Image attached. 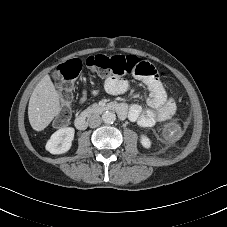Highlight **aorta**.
I'll return each instance as SVG.
<instances>
[{
  "mask_svg": "<svg viewBox=\"0 0 227 227\" xmlns=\"http://www.w3.org/2000/svg\"><path fill=\"white\" fill-rule=\"evenodd\" d=\"M102 120L106 124H113V122L116 120V115L111 111H105L102 114Z\"/></svg>",
  "mask_w": 227,
  "mask_h": 227,
  "instance_id": "1",
  "label": "aorta"
}]
</instances>
